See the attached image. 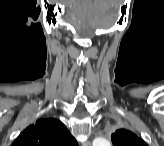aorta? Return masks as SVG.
I'll list each match as a JSON object with an SVG mask.
<instances>
[{
    "mask_svg": "<svg viewBox=\"0 0 164 146\" xmlns=\"http://www.w3.org/2000/svg\"><path fill=\"white\" fill-rule=\"evenodd\" d=\"M110 145H111L110 141L106 138L98 137L93 141V146H110Z\"/></svg>",
    "mask_w": 164,
    "mask_h": 146,
    "instance_id": "1",
    "label": "aorta"
}]
</instances>
